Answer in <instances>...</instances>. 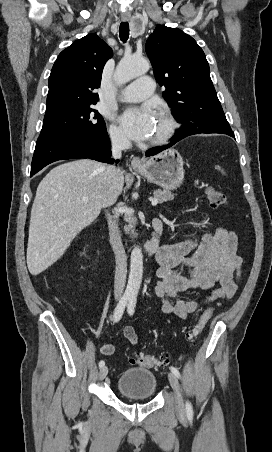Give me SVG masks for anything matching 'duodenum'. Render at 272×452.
I'll return each mask as SVG.
<instances>
[{"mask_svg":"<svg viewBox=\"0 0 272 452\" xmlns=\"http://www.w3.org/2000/svg\"><path fill=\"white\" fill-rule=\"evenodd\" d=\"M153 236L144 245V251L148 256L158 255L159 253V243L163 232V222L160 218H154L152 221Z\"/></svg>","mask_w":272,"mask_h":452,"instance_id":"duodenum-1","label":"duodenum"}]
</instances>
